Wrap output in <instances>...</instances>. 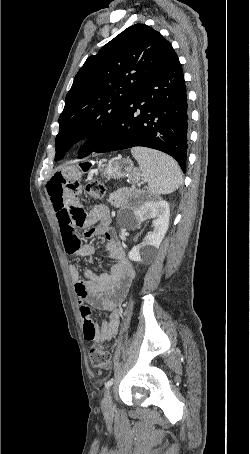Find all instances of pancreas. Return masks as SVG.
<instances>
[{
  "instance_id": "cf45deb5",
  "label": "pancreas",
  "mask_w": 250,
  "mask_h": 454,
  "mask_svg": "<svg viewBox=\"0 0 250 454\" xmlns=\"http://www.w3.org/2000/svg\"><path fill=\"white\" fill-rule=\"evenodd\" d=\"M139 195V192H134L135 197H138ZM108 202H110L113 206H120L124 204V199L122 198L120 192H116L109 197Z\"/></svg>"
}]
</instances>
